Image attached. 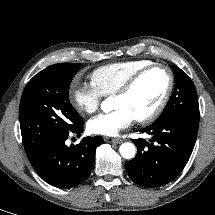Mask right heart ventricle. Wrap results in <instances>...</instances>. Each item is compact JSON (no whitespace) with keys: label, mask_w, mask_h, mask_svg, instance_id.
<instances>
[{"label":"right heart ventricle","mask_w":215,"mask_h":215,"mask_svg":"<svg viewBox=\"0 0 215 215\" xmlns=\"http://www.w3.org/2000/svg\"><path fill=\"white\" fill-rule=\"evenodd\" d=\"M153 64L149 60H130L98 67L92 72L91 80L103 96L114 95L136 72Z\"/></svg>","instance_id":"obj_1"}]
</instances>
